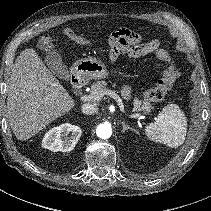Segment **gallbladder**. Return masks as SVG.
Returning a JSON list of instances; mask_svg holds the SVG:
<instances>
[{"label": "gallbladder", "instance_id": "bac80fb5", "mask_svg": "<svg viewBox=\"0 0 211 211\" xmlns=\"http://www.w3.org/2000/svg\"><path fill=\"white\" fill-rule=\"evenodd\" d=\"M46 63L51 71L57 76L68 73L67 68L62 62L60 54L56 50H49L46 54Z\"/></svg>", "mask_w": 211, "mask_h": 211}]
</instances>
